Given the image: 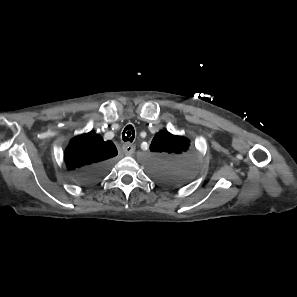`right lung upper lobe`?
<instances>
[{
  "label": "right lung upper lobe",
  "instance_id": "cb5924a9",
  "mask_svg": "<svg viewBox=\"0 0 297 297\" xmlns=\"http://www.w3.org/2000/svg\"><path fill=\"white\" fill-rule=\"evenodd\" d=\"M116 155L112 141H104L100 135L89 132L70 141L64 159L68 170L77 173L86 167L109 162Z\"/></svg>",
  "mask_w": 297,
  "mask_h": 297
}]
</instances>
